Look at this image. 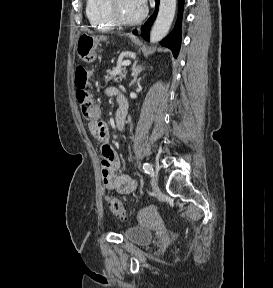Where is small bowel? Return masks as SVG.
<instances>
[{"instance_id":"1","label":"small bowel","mask_w":273,"mask_h":288,"mask_svg":"<svg viewBox=\"0 0 273 288\" xmlns=\"http://www.w3.org/2000/svg\"><path fill=\"white\" fill-rule=\"evenodd\" d=\"M119 92L118 89L113 87L106 89V94L117 97V100ZM116 125L119 130H122L125 125V121L120 122L117 120V113ZM88 127L100 144L101 174L105 187L109 190H115L120 194H131L134 192L136 182L130 176L119 172V161L116 152L110 144L107 124L102 121H92Z\"/></svg>"}]
</instances>
